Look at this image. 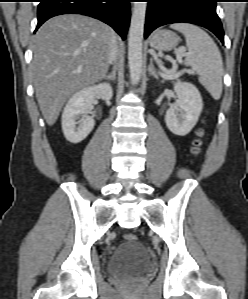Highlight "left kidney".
Returning a JSON list of instances; mask_svg holds the SVG:
<instances>
[{
  "label": "left kidney",
  "instance_id": "1",
  "mask_svg": "<svg viewBox=\"0 0 248 299\" xmlns=\"http://www.w3.org/2000/svg\"><path fill=\"white\" fill-rule=\"evenodd\" d=\"M174 91L177 100L167 110L165 122L173 134L185 136L196 125L203 109V101L200 92L191 83H176Z\"/></svg>",
  "mask_w": 248,
  "mask_h": 299
}]
</instances>
